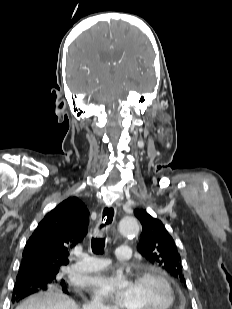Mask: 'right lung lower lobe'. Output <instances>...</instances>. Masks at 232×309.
<instances>
[{"mask_svg":"<svg viewBox=\"0 0 232 309\" xmlns=\"http://www.w3.org/2000/svg\"><path fill=\"white\" fill-rule=\"evenodd\" d=\"M46 287H42L38 282L32 281L29 283H15L13 289V299L12 301L15 302L19 299H22L30 294L36 293L40 290H46ZM64 293H68L66 287H62Z\"/></svg>","mask_w":232,"mask_h":309,"instance_id":"right-lung-lower-lobe-1","label":"right lung lower lobe"}]
</instances>
